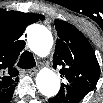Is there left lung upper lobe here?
<instances>
[{
	"mask_svg": "<svg viewBox=\"0 0 103 103\" xmlns=\"http://www.w3.org/2000/svg\"><path fill=\"white\" fill-rule=\"evenodd\" d=\"M57 42L53 67L60 66L65 79L53 103H67L68 88H80L86 93L92 91L100 75V67L95 53L85 36L73 25L55 19Z\"/></svg>",
	"mask_w": 103,
	"mask_h": 103,
	"instance_id": "5c2ea615",
	"label": "left lung upper lobe"
}]
</instances>
